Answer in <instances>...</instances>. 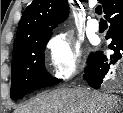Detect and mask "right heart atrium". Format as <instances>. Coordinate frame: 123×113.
<instances>
[{
    "instance_id": "d8ad5b80",
    "label": "right heart atrium",
    "mask_w": 123,
    "mask_h": 113,
    "mask_svg": "<svg viewBox=\"0 0 123 113\" xmlns=\"http://www.w3.org/2000/svg\"><path fill=\"white\" fill-rule=\"evenodd\" d=\"M47 51L53 75L60 82L69 80L84 61L82 45L70 32L54 35Z\"/></svg>"
}]
</instances>
